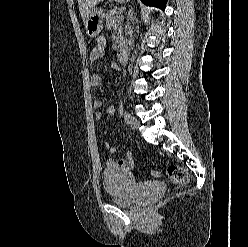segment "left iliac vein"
Returning <instances> with one entry per match:
<instances>
[{
	"label": "left iliac vein",
	"mask_w": 248,
	"mask_h": 247,
	"mask_svg": "<svg viewBox=\"0 0 248 247\" xmlns=\"http://www.w3.org/2000/svg\"><path fill=\"white\" fill-rule=\"evenodd\" d=\"M129 125L132 129L136 130L139 127V121L135 117H130Z\"/></svg>",
	"instance_id": "obj_1"
}]
</instances>
